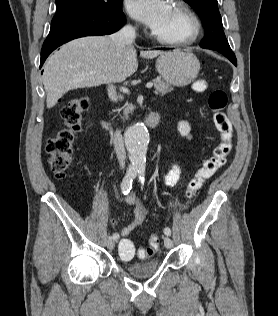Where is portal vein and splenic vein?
I'll return each mask as SVG.
<instances>
[{"instance_id":"obj_1","label":"portal vein and splenic vein","mask_w":278,"mask_h":316,"mask_svg":"<svg viewBox=\"0 0 278 316\" xmlns=\"http://www.w3.org/2000/svg\"><path fill=\"white\" fill-rule=\"evenodd\" d=\"M152 86H153V83H152V82H149V83L146 84V87H147V88H152ZM121 90H122L124 93H129V90H128L127 88H122Z\"/></svg>"}]
</instances>
